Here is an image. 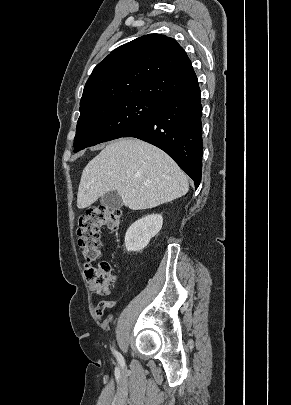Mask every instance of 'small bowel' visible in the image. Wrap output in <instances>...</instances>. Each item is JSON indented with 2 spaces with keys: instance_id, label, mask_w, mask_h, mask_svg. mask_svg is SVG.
<instances>
[{
  "instance_id": "obj_1",
  "label": "small bowel",
  "mask_w": 291,
  "mask_h": 405,
  "mask_svg": "<svg viewBox=\"0 0 291 405\" xmlns=\"http://www.w3.org/2000/svg\"><path fill=\"white\" fill-rule=\"evenodd\" d=\"M113 306H114L113 302H100L95 309V314L97 318H101L104 311L106 309L112 308Z\"/></svg>"
}]
</instances>
